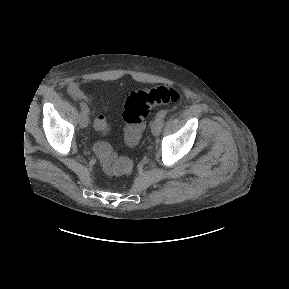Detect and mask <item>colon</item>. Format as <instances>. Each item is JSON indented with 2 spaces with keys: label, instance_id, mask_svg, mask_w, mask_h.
Listing matches in <instances>:
<instances>
[{
  "label": "colon",
  "instance_id": "obj_1",
  "mask_svg": "<svg viewBox=\"0 0 289 289\" xmlns=\"http://www.w3.org/2000/svg\"><path fill=\"white\" fill-rule=\"evenodd\" d=\"M179 99L180 94L176 89L165 86L131 92L123 108V120L126 127L124 142L126 146L134 147L137 145L141 132L145 127L146 117L153 107L160 104L176 103ZM94 128L98 133H107L109 124L106 118L104 116L96 118ZM94 149L106 173L111 175L131 173L133 168L131 160L126 157H119L107 142H97Z\"/></svg>",
  "mask_w": 289,
  "mask_h": 289
}]
</instances>
